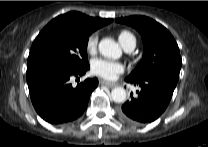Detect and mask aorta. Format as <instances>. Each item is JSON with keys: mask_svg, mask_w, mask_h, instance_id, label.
I'll return each mask as SVG.
<instances>
[{"mask_svg": "<svg viewBox=\"0 0 208 147\" xmlns=\"http://www.w3.org/2000/svg\"><path fill=\"white\" fill-rule=\"evenodd\" d=\"M99 52L107 58L118 59L122 55L120 46L111 38H104L99 43ZM111 99L116 103L126 100V91L122 87H116L111 91Z\"/></svg>", "mask_w": 208, "mask_h": 147, "instance_id": "aorta-1", "label": "aorta"}]
</instances>
